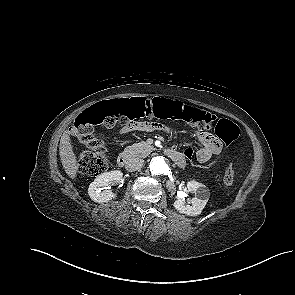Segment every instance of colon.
Wrapping results in <instances>:
<instances>
[{
  "label": "colon",
  "mask_w": 295,
  "mask_h": 295,
  "mask_svg": "<svg viewBox=\"0 0 295 295\" xmlns=\"http://www.w3.org/2000/svg\"><path fill=\"white\" fill-rule=\"evenodd\" d=\"M155 117L160 119L182 120L198 129H210L215 117L198 108L184 105L178 101L167 99L147 100L143 98L115 100L97 104L82 112L75 120L74 135L88 148L78 157L80 171L88 176L96 177L107 170L106 148L101 140L94 135L96 125L113 127L135 122L140 117ZM158 128L162 127L155 123ZM216 135L223 140L221 151L204 164L194 158L196 150L187 146L184 157L196 169H210L227 153L229 142L239 136L238 126L228 119H220L215 125ZM234 181V169L229 166L223 176V185L229 187Z\"/></svg>",
  "instance_id": "colon-1"
}]
</instances>
